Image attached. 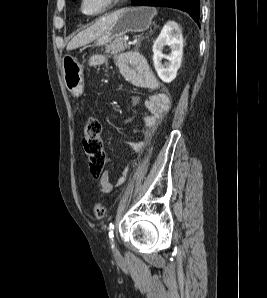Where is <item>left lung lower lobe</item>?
Returning a JSON list of instances; mask_svg holds the SVG:
<instances>
[{"label": "left lung lower lobe", "mask_w": 267, "mask_h": 298, "mask_svg": "<svg viewBox=\"0 0 267 298\" xmlns=\"http://www.w3.org/2000/svg\"><path fill=\"white\" fill-rule=\"evenodd\" d=\"M133 6H160L179 9L187 12L198 23L199 0H132Z\"/></svg>", "instance_id": "1"}]
</instances>
